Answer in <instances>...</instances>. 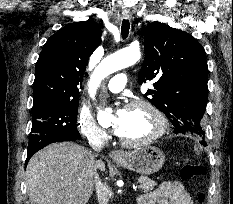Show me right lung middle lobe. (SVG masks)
<instances>
[{
  "label": "right lung middle lobe",
  "instance_id": "dd1d6c3e",
  "mask_svg": "<svg viewBox=\"0 0 233 204\" xmlns=\"http://www.w3.org/2000/svg\"><path fill=\"white\" fill-rule=\"evenodd\" d=\"M79 100L47 103L32 108V129L28 151L63 138H80L76 127Z\"/></svg>",
  "mask_w": 233,
  "mask_h": 204
}]
</instances>
